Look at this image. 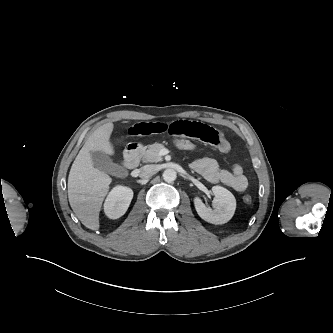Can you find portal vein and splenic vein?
Listing matches in <instances>:
<instances>
[{"label":"portal vein and splenic vein","instance_id":"obj_1","mask_svg":"<svg viewBox=\"0 0 333 333\" xmlns=\"http://www.w3.org/2000/svg\"><path fill=\"white\" fill-rule=\"evenodd\" d=\"M168 153V150L167 149H162V150H160V152H159V154L160 155H165V154H167Z\"/></svg>","mask_w":333,"mask_h":333}]
</instances>
